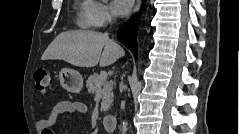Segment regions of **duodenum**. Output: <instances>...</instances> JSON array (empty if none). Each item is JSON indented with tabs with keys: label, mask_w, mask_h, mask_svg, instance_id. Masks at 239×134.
<instances>
[{
	"label": "duodenum",
	"mask_w": 239,
	"mask_h": 134,
	"mask_svg": "<svg viewBox=\"0 0 239 134\" xmlns=\"http://www.w3.org/2000/svg\"><path fill=\"white\" fill-rule=\"evenodd\" d=\"M116 121H117V118L115 115L109 114V115L104 116L102 123H103L105 130L109 133H112L115 129Z\"/></svg>",
	"instance_id": "410a0bca"
}]
</instances>
